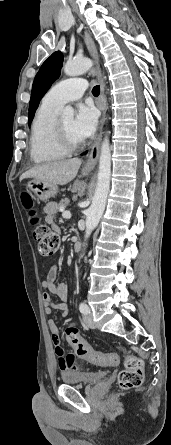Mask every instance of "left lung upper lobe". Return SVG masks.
<instances>
[{
  "instance_id": "1",
  "label": "left lung upper lobe",
  "mask_w": 171,
  "mask_h": 445,
  "mask_svg": "<svg viewBox=\"0 0 171 445\" xmlns=\"http://www.w3.org/2000/svg\"><path fill=\"white\" fill-rule=\"evenodd\" d=\"M63 65V54L54 52L41 66L35 76L29 103L28 125L30 126L39 102L52 83L59 77Z\"/></svg>"
}]
</instances>
